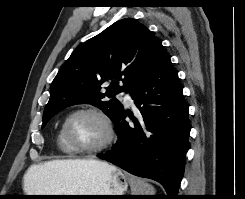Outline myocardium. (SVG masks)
<instances>
[{
    "instance_id": "f54148a6",
    "label": "myocardium",
    "mask_w": 245,
    "mask_h": 199,
    "mask_svg": "<svg viewBox=\"0 0 245 199\" xmlns=\"http://www.w3.org/2000/svg\"><path fill=\"white\" fill-rule=\"evenodd\" d=\"M79 114H92L96 116L103 123L105 130H106V137L104 141L98 146L92 147V148H83V147L77 146L76 143L72 140L68 127H69L70 121ZM62 132L65 138V141L74 151V153L82 154V155H96V154H99L105 151L112 145L114 138H115V130H114V126H113L111 119L104 111L96 107H82V108H78V109L71 111L63 122Z\"/></svg>"
}]
</instances>
